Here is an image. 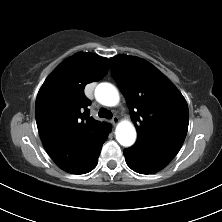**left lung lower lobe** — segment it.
<instances>
[{
	"label": "left lung lower lobe",
	"instance_id": "0a47b994",
	"mask_svg": "<svg viewBox=\"0 0 222 222\" xmlns=\"http://www.w3.org/2000/svg\"><path fill=\"white\" fill-rule=\"evenodd\" d=\"M124 156L128 166L137 173L151 174L161 170L159 168H156L150 164H147L143 161H140L132 157L131 155L127 154L125 151H124Z\"/></svg>",
	"mask_w": 222,
	"mask_h": 222
}]
</instances>
